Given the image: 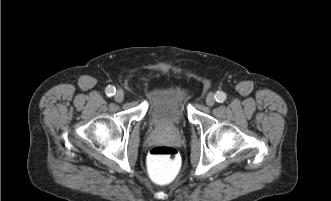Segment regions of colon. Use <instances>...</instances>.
<instances>
[{
    "label": "colon",
    "mask_w": 331,
    "mask_h": 201,
    "mask_svg": "<svg viewBox=\"0 0 331 201\" xmlns=\"http://www.w3.org/2000/svg\"><path fill=\"white\" fill-rule=\"evenodd\" d=\"M147 170L150 178L157 184L173 182L181 170V158L178 151L166 145L153 147L147 158Z\"/></svg>",
    "instance_id": "1"
}]
</instances>
